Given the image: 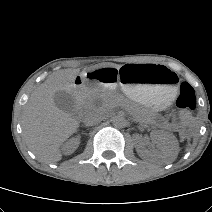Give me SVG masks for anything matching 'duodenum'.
<instances>
[{
  "label": "duodenum",
  "mask_w": 212,
  "mask_h": 212,
  "mask_svg": "<svg viewBox=\"0 0 212 212\" xmlns=\"http://www.w3.org/2000/svg\"><path fill=\"white\" fill-rule=\"evenodd\" d=\"M86 81L84 79H79V82L76 83L75 87H74V95L76 100L79 102L81 101L84 92H85V88H86Z\"/></svg>",
  "instance_id": "duodenum-1"
}]
</instances>
